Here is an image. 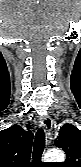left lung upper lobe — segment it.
Masks as SVG:
<instances>
[{"label": "left lung upper lobe", "mask_w": 81, "mask_h": 167, "mask_svg": "<svg viewBox=\"0 0 81 167\" xmlns=\"http://www.w3.org/2000/svg\"><path fill=\"white\" fill-rule=\"evenodd\" d=\"M55 145L67 155L61 167H81V131L77 127L71 124L62 126Z\"/></svg>", "instance_id": "obj_1"}]
</instances>
